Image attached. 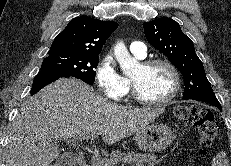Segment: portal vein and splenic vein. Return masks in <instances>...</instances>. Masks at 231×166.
I'll list each match as a JSON object with an SVG mask.
<instances>
[{
	"label": "portal vein and splenic vein",
	"instance_id": "1",
	"mask_svg": "<svg viewBox=\"0 0 231 166\" xmlns=\"http://www.w3.org/2000/svg\"><path fill=\"white\" fill-rule=\"evenodd\" d=\"M94 134H95V132L84 133V134H81V135L77 136L73 141L76 142V140H79V141L88 140V139H90L91 137H93Z\"/></svg>",
	"mask_w": 231,
	"mask_h": 166
}]
</instances>
